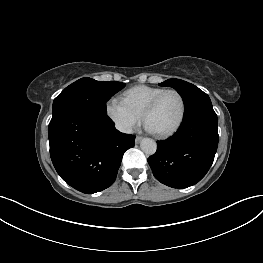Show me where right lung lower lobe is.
<instances>
[{
	"instance_id": "1",
	"label": "right lung lower lobe",
	"mask_w": 263,
	"mask_h": 263,
	"mask_svg": "<svg viewBox=\"0 0 263 263\" xmlns=\"http://www.w3.org/2000/svg\"><path fill=\"white\" fill-rule=\"evenodd\" d=\"M48 136L52 163L60 177L86 194L113 184L122 156L135 136L115 129L107 114L67 109L52 117Z\"/></svg>"
}]
</instances>
